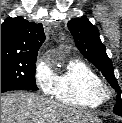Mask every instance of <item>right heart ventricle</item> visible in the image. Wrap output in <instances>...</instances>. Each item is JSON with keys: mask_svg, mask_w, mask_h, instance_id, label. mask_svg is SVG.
I'll return each instance as SVG.
<instances>
[{"mask_svg": "<svg viewBox=\"0 0 122 123\" xmlns=\"http://www.w3.org/2000/svg\"><path fill=\"white\" fill-rule=\"evenodd\" d=\"M100 76L87 63L71 60L54 77L51 95L59 102L80 108H96L101 101L93 94Z\"/></svg>", "mask_w": 122, "mask_h": 123, "instance_id": "1", "label": "right heart ventricle"}]
</instances>
